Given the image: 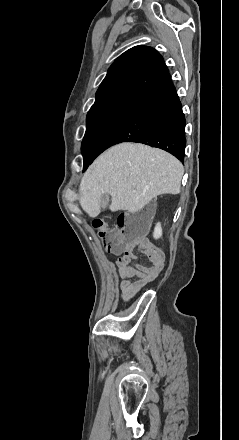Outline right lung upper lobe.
I'll return each instance as SVG.
<instances>
[{
	"instance_id": "obj_1",
	"label": "right lung upper lobe",
	"mask_w": 239,
	"mask_h": 440,
	"mask_svg": "<svg viewBox=\"0 0 239 440\" xmlns=\"http://www.w3.org/2000/svg\"><path fill=\"white\" fill-rule=\"evenodd\" d=\"M169 74L162 56L147 46H135L119 56L96 93L93 106L115 98H135Z\"/></svg>"
}]
</instances>
